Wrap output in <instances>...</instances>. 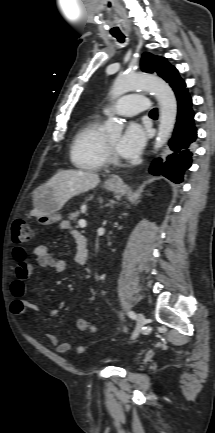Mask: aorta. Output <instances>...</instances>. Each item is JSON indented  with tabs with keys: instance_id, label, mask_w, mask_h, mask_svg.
Instances as JSON below:
<instances>
[{
	"instance_id": "obj_1",
	"label": "aorta",
	"mask_w": 215,
	"mask_h": 433,
	"mask_svg": "<svg viewBox=\"0 0 215 433\" xmlns=\"http://www.w3.org/2000/svg\"><path fill=\"white\" fill-rule=\"evenodd\" d=\"M146 89L155 95L160 105V124L155 139L154 152H157L168 141L174 128L177 116V102L171 87L161 78L148 74H126L116 78L111 89L112 99L136 90ZM123 124L115 117L106 123V131L110 135H120Z\"/></svg>"
}]
</instances>
